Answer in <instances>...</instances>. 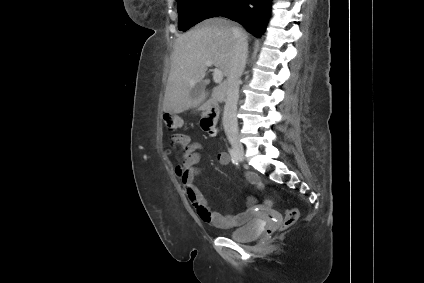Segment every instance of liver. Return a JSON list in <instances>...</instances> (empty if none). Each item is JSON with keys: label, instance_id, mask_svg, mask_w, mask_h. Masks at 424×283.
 I'll list each match as a JSON object with an SVG mask.
<instances>
[{"label": "liver", "instance_id": "6515ba94", "mask_svg": "<svg viewBox=\"0 0 424 283\" xmlns=\"http://www.w3.org/2000/svg\"><path fill=\"white\" fill-rule=\"evenodd\" d=\"M233 27L229 20L209 18L178 36L164 95V112L179 114L190 108H207L209 101L204 102L208 95L205 90L197 98H192L190 91L204 78L207 61H212L228 77L236 42Z\"/></svg>", "mask_w": 424, "mask_h": 283}]
</instances>
